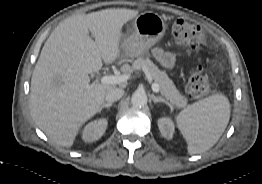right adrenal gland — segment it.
I'll list each match as a JSON object with an SVG mask.
<instances>
[{
	"label": "right adrenal gland",
	"instance_id": "1",
	"mask_svg": "<svg viewBox=\"0 0 262 184\" xmlns=\"http://www.w3.org/2000/svg\"><path fill=\"white\" fill-rule=\"evenodd\" d=\"M111 106H112V103H109V102L103 103L98 112L101 113V111L104 108H107L109 110Z\"/></svg>",
	"mask_w": 262,
	"mask_h": 184
}]
</instances>
